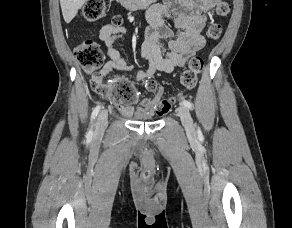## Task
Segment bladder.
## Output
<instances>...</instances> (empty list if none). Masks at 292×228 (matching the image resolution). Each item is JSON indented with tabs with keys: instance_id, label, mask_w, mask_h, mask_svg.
Listing matches in <instances>:
<instances>
[{
	"instance_id": "bladder-1",
	"label": "bladder",
	"mask_w": 292,
	"mask_h": 228,
	"mask_svg": "<svg viewBox=\"0 0 292 228\" xmlns=\"http://www.w3.org/2000/svg\"><path fill=\"white\" fill-rule=\"evenodd\" d=\"M135 120H137V121H152V120H154V118L147 117V116H136Z\"/></svg>"
}]
</instances>
